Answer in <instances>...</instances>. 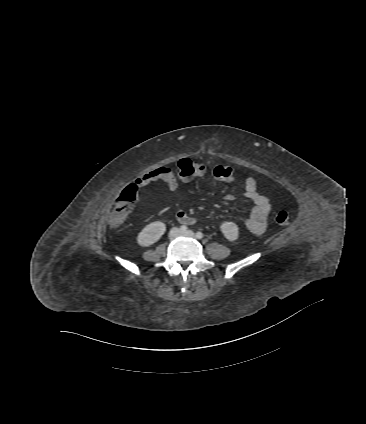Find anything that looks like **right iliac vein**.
Here are the masks:
<instances>
[{"label":"right iliac vein","instance_id":"right-iliac-vein-1","mask_svg":"<svg viewBox=\"0 0 366 424\" xmlns=\"http://www.w3.org/2000/svg\"><path fill=\"white\" fill-rule=\"evenodd\" d=\"M181 234L180 230L178 228H173L169 233V238L174 239L178 237Z\"/></svg>","mask_w":366,"mask_h":424}]
</instances>
